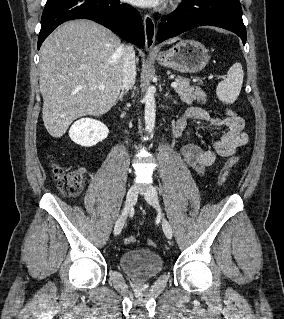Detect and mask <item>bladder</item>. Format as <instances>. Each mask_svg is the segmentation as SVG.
Instances as JSON below:
<instances>
[{
	"mask_svg": "<svg viewBox=\"0 0 284 319\" xmlns=\"http://www.w3.org/2000/svg\"><path fill=\"white\" fill-rule=\"evenodd\" d=\"M121 269L135 281H148L157 276L163 268L162 258L146 249H131L119 257Z\"/></svg>",
	"mask_w": 284,
	"mask_h": 319,
	"instance_id": "31cf9c89",
	"label": "bladder"
}]
</instances>
